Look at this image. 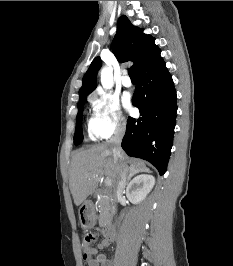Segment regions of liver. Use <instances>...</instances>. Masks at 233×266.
Returning a JSON list of instances; mask_svg holds the SVG:
<instances>
[{
    "instance_id": "liver-1",
    "label": "liver",
    "mask_w": 233,
    "mask_h": 266,
    "mask_svg": "<svg viewBox=\"0 0 233 266\" xmlns=\"http://www.w3.org/2000/svg\"><path fill=\"white\" fill-rule=\"evenodd\" d=\"M124 161L130 163L129 171L142 172L147 168L142 162L129 160L124 155ZM112 180L113 187L118 177V162L113 156V146L110 142L100 143L88 149L76 152L71 160L69 187L76 206L81 205L94 191L100 177Z\"/></svg>"
}]
</instances>
